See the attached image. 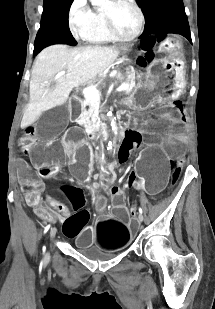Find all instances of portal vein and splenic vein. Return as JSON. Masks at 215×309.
I'll return each instance as SVG.
<instances>
[{
	"instance_id": "18ae733b",
	"label": "portal vein and splenic vein",
	"mask_w": 215,
	"mask_h": 309,
	"mask_svg": "<svg viewBox=\"0 0 215 309\" xmlns=\"http://www.w3.org/2000/svg\"><path fill=\"white\" fill-rule=\"evenodd\" d=\"M58 74L62 76V74H65V70H61ZM128 86L129 84H121L116 90H124V88H128ZM83 94H85V96H99V92L95 86H86V88H83Z\"/></svg>"
}]
</instances>
